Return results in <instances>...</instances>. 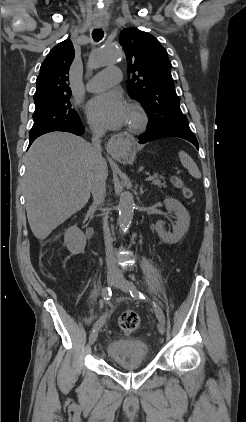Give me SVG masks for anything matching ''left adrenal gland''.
<instances>
[{"instance_id":"a2214340","label":"left adrenal gland","mask_w":246,"mask_h":422,"mask_svg":"<svg viewBox=\"0 0 246 422\" xmlns=\"http://www.w3.org/2000/svg\"><path fill=\"white\" fill-rule=\"evenodd\" d=\"M139 193H140V195L144 193L143 186L140 187Z\"/></svg>"}]
</instances>
